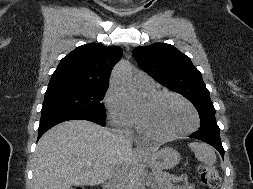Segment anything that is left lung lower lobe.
<instances>
[{
    "instance_id": "obj_1",
    "label": "left lung lower lobe",
    "mask_w": 253,
    "mask_h": 189,
    "mask_svg": "<svg viewBox=\"0 0 253 189\" xmlns=\"http://www.w3.org/2000/svg\"><path fill=\"white\" fill-rule=\"evenodd\" d=\"M189 137L199 139L206 143L211 144L219 151L222 158H224V149L222 147V143L220 140V129L219 130L200 129L197 132H194L193 134H191Z\"/></svg>"
}]
</instances>
